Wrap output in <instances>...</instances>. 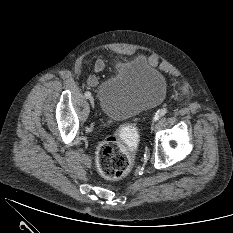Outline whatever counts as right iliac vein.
<instances>
[{
	"instance_id": "63e3f726",
	"label": "right iliac vein",
	"mask_w": 233,
	"mask_h": 233,
	"mask_svg": "<svg viewBox=\"0 0 233 233\" xmlns=\"http://www.w3.org/2000/svg\"><path fill=\"white\" fill-rule=\"evenodd\" d=\"M89 100H90L91 105L94 107V104H95L94 98H93V97H90Z\"/></svg>"
}]
</instances>
